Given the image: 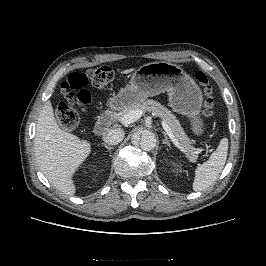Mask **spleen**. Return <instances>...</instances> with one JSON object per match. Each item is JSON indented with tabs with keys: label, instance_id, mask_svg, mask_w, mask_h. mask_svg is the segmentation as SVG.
<instances>
[{
	"label": "spleen",
	"instance_id": "spleen-1",
	"mask_svg": "<svg viewBox=\"0 0 266 266\" xmlns=\"http://www.w3.org/2000/svg\"><path fill=\"white\" fill-rule=\"evenodd\" d=\"M227 152L228 139L223 138L209 160L196 168L193 182L194 191H203L214 183L226 163Z\"/></svg>",
	"mask_w": 266,
	"mask_h": 266
}]
</instances>
